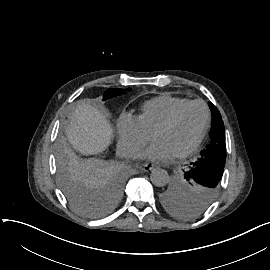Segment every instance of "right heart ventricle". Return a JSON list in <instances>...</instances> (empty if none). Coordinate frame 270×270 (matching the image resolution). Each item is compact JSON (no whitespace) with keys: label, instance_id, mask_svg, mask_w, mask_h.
I'll use <instances>...</instances> for the list:
<instances>
[{"label":"right heart ventricle","instance_id":"e07e8e85","mask_svg":"<svg viewBox=\"0 0 270 270\" xmlns=\"http://www.w3.org/2000/svg\"><path fill=\"white\" fill-rule=\"evenodd\" d=\"M189 100L169 95L155 97L145 102L135 119L140 127L148 134L162 122L167 120L175 111L187 104Z\"/></svg>","mask_w":270,"mask_h":270}]
</instances>
